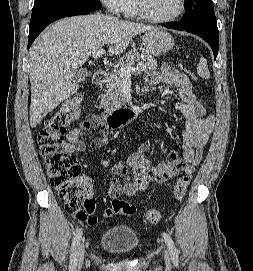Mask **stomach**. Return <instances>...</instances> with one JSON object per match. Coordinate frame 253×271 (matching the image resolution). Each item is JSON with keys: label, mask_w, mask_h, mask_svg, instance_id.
<instances>
[{"label": "stomach", "mask_w": 253, "mask_h": 271, "mask_svg": "<svg viewBox=\"0 0 253 271\" xmlns=\"http://www.w3.org/2000/svg\"><path fill=\"white\" fill-rule=\"evenodd\" d=\"M142 41L145 50L152 56L164 55L174 46L173 37L161 28L145 32Z\"/></svg>", "instance_id": "obj_1"}]
</instances>
